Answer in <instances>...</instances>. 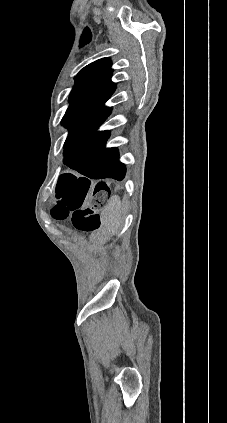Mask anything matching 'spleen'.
Returning <instances> with one entry per match:
<instances>
[{
    "label": "spleen",
    "mask_w": 227,
    "mask_h": 423,
    "mask_svg": "<svg viewBox=\"0 0 227 423\" xmlns=\"http://www.w3.org/2000/svg\"><path fill=\"white\" fill-rule=\"evenodd\" d=\"M123 213L119 196H112L108 206L101 213V219L109 231L116 233L123 219Z\"/></svg>",
    "instance_id": "1"
}]
</instances>
